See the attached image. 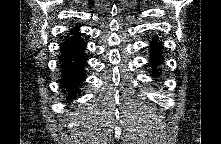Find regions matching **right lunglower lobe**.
I'll use <instances>...</instances> for the list:
<instances>
[{
    "label": "right lung lower lobe",
    "mask_w": 221,
    "mask_h": 144,
    "mask_svg": "<svg viewBox=\"0 0 221 144\" xmlns=\"http://www.w3.org/2000/svg\"><path fill=\"white\" fill-rule=\"evenodd\" d=\"M70 32L73 36L66 39L60 49L62 64L60 85L63 91L67 92V99L79 94L80 83L86 78L84 68L87 61L84 57L86 43L80 37L79 28L74 27Z\"/></svg>",
    "instance_id": "right-lung-lower-lobe-1"
}]
</instances>
